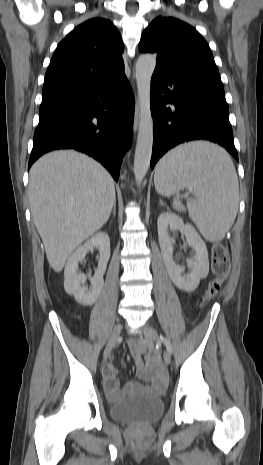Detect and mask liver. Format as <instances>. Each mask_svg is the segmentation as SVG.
Returning a JSON list of instances; mask_svg holds the SVG:
<instances>
[{
	"instance_id": "1",
	"label": "liver",
	"mask_w": 263,
	"mask_h": 465,
	"mask_svg": "<svg viewBox=\"0 0 263 465\" xmlns=\"http://www.w3.org/2000/svg\"><path fill=\"white\" fill-rule=\"evenodd\" d=\"M28 196L49 265L57 273L73 251L107 222L116 202L108 171L73 150L48 153L33 164Z\"/></svg>"
}]
</instances>
